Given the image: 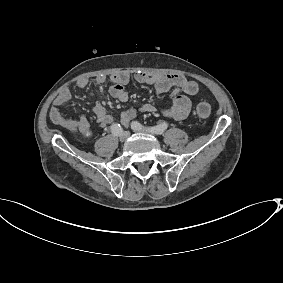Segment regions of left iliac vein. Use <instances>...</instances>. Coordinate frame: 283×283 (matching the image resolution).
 I'll list each match as a JSON object with an SVG mask.
<instances>
[{
    "label": "left iliac vein",
    "instance_id": "left-iliac-vein-1",
    "mask_svg": "<svg viewBox=\"0 0 283 283\" xmlns=\"http://www.w3.org/2000/svg\"><path fill=\"white\" fill-rule=\"evenodd\" d=\"M132 129L135 131V132H141V133H145V134H151L150 132L146 131V130H142V129H138V128H135L132 126Z\"/></svg>",
    "mask_w": 283,
    "mask_h": 283
}]
</instances>
